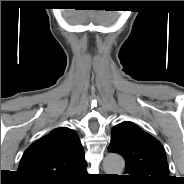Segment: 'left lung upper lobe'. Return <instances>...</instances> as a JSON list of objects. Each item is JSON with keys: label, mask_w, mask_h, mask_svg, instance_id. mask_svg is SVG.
<instances>
[{"label": "left lung upper lobe", "mask_w": 184, "mask_h": 184, "mask_svg": "<svg viewBox=\"0 0 184 184\" xmlns=\"http://www.w3.org/2000/svg\"><path fill=\"white\" fill-rule=\"evenodd\" d=\"M110 152L126 162L125 178L132 184H168L171 181L162 144L136 124L124 121L111 131Z\"/></svg>", "instance_id": "5c2ea615"}]
</instances>
